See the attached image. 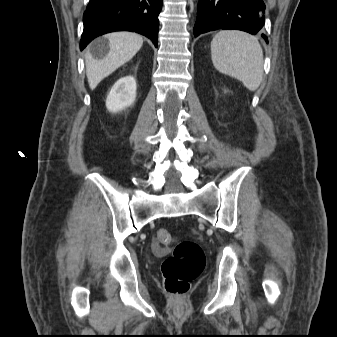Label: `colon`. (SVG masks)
Masks as SVG:
<instances>
[{
	"instance_id": "1",
	"label": "colon",
	"mask_w": 337,
	"mask_h": 337,
	"mask_svg": "<svg viewBox=\"0 0 337 337\" xmlns=\"http://www.w3.org/2000/svg\"><path fill=\"white\" fill-rule=\"evenodd\" d=\"M173 241V235L168 230L160 229L153 248L157 252H163ZM204 266L205 254L200 245L193 240L179 241L161 265L165 291L174 296L186 294Z\"/></svg>"
}]
</instances>
